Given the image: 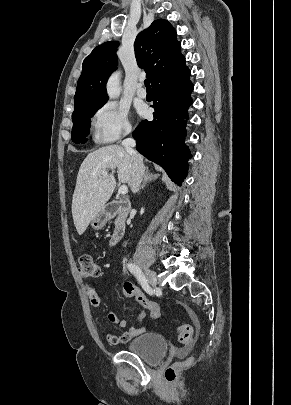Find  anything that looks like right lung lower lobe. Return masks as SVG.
<instances>
[{
  "label": "right lung lower lobe",
  "instance_id": "obj_1",
  "mask_svg": "<svg viewBox=\"0 0 291 405\" xmlns=\"http://www.w3.org/2000/svg\"><path fill=\"white\" fill-rule=\"evenodd\" d=\"M190 70L163 80L154 87L155 112L153 121L143 120L133 132L136 149L149 160L159 164L176 184L187 175L191 158L185 144L187 110L192 104L193 84Z\"/></svg>",
  "mask_w": 291,
  "mask_h": 405
}]
</instances>
